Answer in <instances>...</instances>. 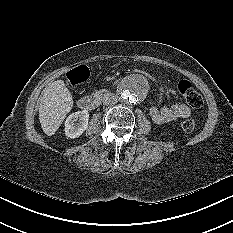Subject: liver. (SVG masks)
<instances>
[{
  "mask_svg": "<svg viewBox=\"0 0 233 233\" xmlns=\"http://www.w3.org/2000/svg\"><path fill=\"white\" fill-rule=\"evenodd\" d=\"M73 107V98L63 80L52 82L45 90L40 106L39 121L43 132L52 136Z\"/></svg>",
  "mask_w": 233,
  "mask_h": 233,
  "instance_id": "6515ba94",
  "label": "liver"
}]
</instances>
